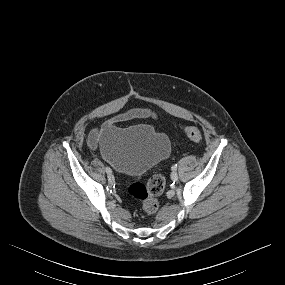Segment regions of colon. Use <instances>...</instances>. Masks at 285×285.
<instances>
[{
	"label": "colon",
	"instance_id": "colon-1",
	"mask_svg": "<svg viewBox=\"0 0 285 285\" xmlns=\"http://www.w3.org/2000/svg\"><path fill=\"white\" fill-rule=\"evenodd\" d=\"M183 132L193 142L202 140L201 131L195 126H184ZM165 188V180L161 175H154L146 183H134L129 186L128 194L142 204L144 211L155 213L158 210V196Z\"/></svg>",
	"mask_w": 285,
	"mask_h": 285
}]
</instances>
